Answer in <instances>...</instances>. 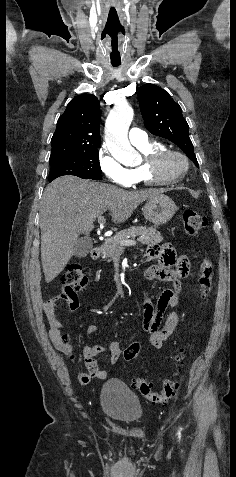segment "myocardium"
Masks as SVG:
<instances>
[{
    "mask_svg": "<svg viewBox=\"0 0 236 477\" xmlns=\"http://www.w3.org/2000/svg\"><path fill=\"white\" fill-rule=\"evenodd\" d=\"M175 157L182 161L183 169L180 173L172 176H166L163 174L162 169L166 160ZM143 168L147 177L157 184H174L179 182L189 170V160L185 154L174 149H160L149 156L143 161Z\"/></svg>",
    "mask_w": 236,
    "mask_h": 477,
    "instance_id": "obj_1",
    "label": "myocardium"
}]
</instances>
